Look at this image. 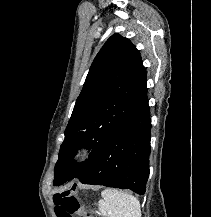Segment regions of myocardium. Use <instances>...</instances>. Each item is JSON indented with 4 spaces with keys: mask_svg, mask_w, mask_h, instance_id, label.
<instances>
[{
    "mask_svg": "<svg viewBox=\"0 0 211 217\" xmlns=\"http://www.w3.org/2000/svg\"><path fill=\"white\" fill-rule=\"evenodd\" d=\"M89 154H90L89 148L79 147L73 152L72 159L76 162H80L84 160Z\"/></svg>",
    "mask_w": 211,
    "mask_h": 217,
    "instance_id": "f54148a6",
    "label": "myocardium"
}]
</instances>
